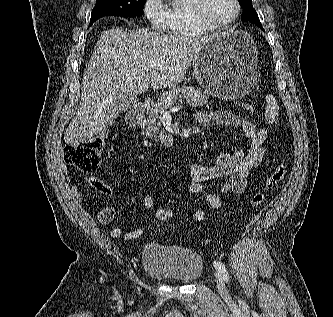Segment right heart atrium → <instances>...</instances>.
Returning <instances> with one entry per match:
<instances>
[{
    "label": "right heart atrium",
    "mask_w": 333,
    "mask_h": 317,
    "mask_svg": "<svg viewBox=\"0 0 333 317\" xmlns=\"http://www.w3.org/2000/svg\"><path fill=\"white\" fill-rule=\"evenodd\" d=\"M143 13L154 30L165 29L167 18L162 0H144Z\"/></svg>",
    "instance_id": "d8ad5b80"
}]
</instances>
